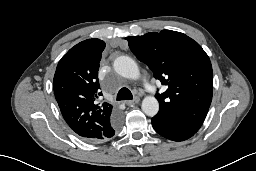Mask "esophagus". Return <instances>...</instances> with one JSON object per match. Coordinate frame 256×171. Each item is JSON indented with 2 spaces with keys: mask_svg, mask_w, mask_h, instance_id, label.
<instances>
[{
  "mask_svg": "<svg viewBox=\"0 0 256 171\" xmlns=\"http://www.w3.org/2000/svg\"><path fill=\"white\" fill-rule=\"evenodd\" d=\"M140 98L139 97H135L133 100L130 101H126V104L128 106H134L135 104L139 103Z\"/></svg>",
  "mask_w": 256,
  "mask_h": 171,
  "instance_id": "34e87169",
  "label": "esophagus"
}]
</instances>
